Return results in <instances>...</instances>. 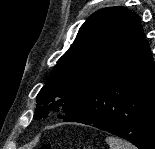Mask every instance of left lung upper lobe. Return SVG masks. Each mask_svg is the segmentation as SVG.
<instances>
[{"instance_id":"obj_1","label":"left lung upper lobe","mask_w":155,"mask_h":149,"mask_svg":"<svg viewBox=\"0 0 155 149\" xmlns=\"http://www.w3.org/2000/svg\"><path fill=\"white\" fill-rule=\"evenodd\" d=\"M140 21L137 14L124 7H108L93 13L38 93L33 118H46L49 110L61 111L63 117L59 118L63 119L72 115Z\"/></svg>"}]
</instances>
